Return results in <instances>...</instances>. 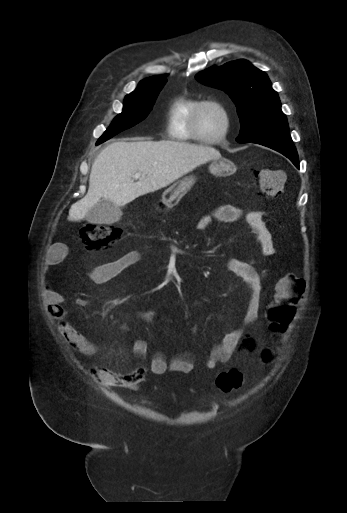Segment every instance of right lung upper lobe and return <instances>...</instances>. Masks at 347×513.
<instances>
[{
	"label": "right lung upper lobe",
	"instance_id": "cb5924a9",
	"mask_svg": "<svg viewBox=\"0 0 347 513\" xmlns=\"http://www.w3.org/2000/svg\"><path fill=\"white\" fill-rule=\"evenodd\" d=\"M166 75L164 76H153V77H150L148 79H145L143 80L142 82H149V81H153V80H156V79H159V78H164Z\"/></svg>",
	"mask_w": 347,
	"mask_h": 513
}]
</instances>
